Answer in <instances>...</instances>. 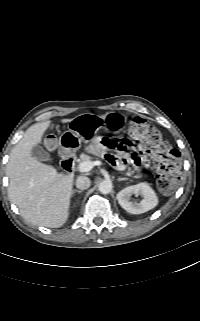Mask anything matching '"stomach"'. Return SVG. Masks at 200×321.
<instances>
[{"label":"stomach","mask_w":200,"mask_h":321,"mask_svg":"<svg viewBox=\"0 0 200 321\" xmlns=\"http://www.w3.org/2000/svg\"><path fill=\"white\" fill-rule=\"evenodd\" d=\"M127 117L118 112H110L102 117L81 114L70 121L69 130L60 138L61 147L67 152H75L82 142H88L101 128L107 131L123 130Z\"/></svg>","instance_id":"0dacf381"}]
</instances>
